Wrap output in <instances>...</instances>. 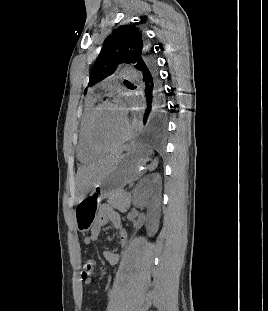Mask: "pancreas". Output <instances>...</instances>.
I'll list each match as a JSON object with an SVG mask.
<instances>
[{
  "instance_id": "cf45deb5",
  "label": "pancreas",
  "mask_w": 268,
  "mask_h": 311,
  "mask_svg": "<svg viewBox=\"0 0 268 311\" xmlns=\"http://www.w3.org/2000/svg\"><path fill=\"white\" fill-rule=\"evenodd\" d=\"M108 203L121 213H125L129 210L131 205L130 194L119 191L109 197Z\"/></svg>"
}]
</instances>
